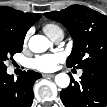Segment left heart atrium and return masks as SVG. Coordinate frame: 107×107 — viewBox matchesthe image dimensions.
Here are the masks:
<instances>
[{
	"instance_id": "1",
	"label": "left heart atrium",
	"mask_w": 107,
	"mask_h": 107,
	"mask_svg": "<svg viewBox=\"0 0 107 107\" xmlns=\"http://www.w3.org/2000/svg\"><path fill=\"white\" fill-rule=\"evenodd\" d=\"M64 60V55L60 52L45 54L36 57L32 61V67L41 72H53L59 63Z\"/></svg>"
}]
</instances>
